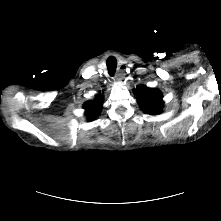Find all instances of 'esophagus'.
Returning <instances> with one entry per match:
<instances>
[{
    "mask_svg": "<svg viewBox=\"0 0 221 221\" xmlns=\"http://www.w3.org/2000/svg\"><path fill=\"white\" fill-rule=\"evenodd\" d=\"M124 70L119 68V71L117 73V75L115 76L116 79H120L123 75Z\"/></svg>",
    "mask_w": 221,
    "mask_h": 221,
    "instance_id": "1",
    "label": "esophagus"
}]
</instances>
